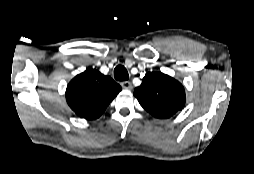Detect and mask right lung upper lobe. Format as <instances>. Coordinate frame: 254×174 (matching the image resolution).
<instances>
[{
	"label": "right lung upper lobe",
	"instance_id": "1",
	"mask_svg": "<svg viewBox=\"0 0 254 174\" xmlns=\"http://www.w3.org/2000/svg\"><path fill=\"white\" fill-rule=\"evenodd\" d=\"M122 90L110 76L88 69L75 76L67 86L66 100L81 118L97 119Z\"/></svg>",
	"mask_w": 254,
	"mask_h": 174
}]
</instances>
